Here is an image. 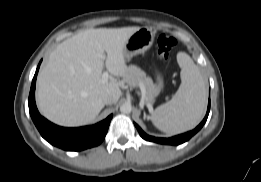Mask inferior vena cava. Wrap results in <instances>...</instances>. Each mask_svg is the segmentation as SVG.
Here are the masks:
<instances>
[{
	"label": "inferior vena cava",
	"mask_w": 261,
	"mask_h": 182,
	"mask_svg": "<svg viewBox=\"0 0 261 182\" xmlns=\"http://www.w3.org/2000/svg\"><path fill=\"white\" fill-rule=\"evenodd\" d=\"M102 102L105 105H111L113 103V97L111 95H104L102 97Z\"/></svg>",
	"instance_id": "602c4592"
}]
</instances>
